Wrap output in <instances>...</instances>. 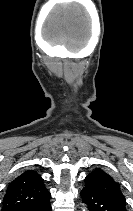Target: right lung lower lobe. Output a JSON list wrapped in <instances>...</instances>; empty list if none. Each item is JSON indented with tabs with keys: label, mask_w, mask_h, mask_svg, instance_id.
<instances>
[{
	"label": "right lung lower lobe",
	"mask_w": 133,
	"mask_h": 211,
	"mask_svg": "<svg viewBox=\"0 0 133 211\" xmlns=\"http://www.w3.org/2000/svg\"><path fill=\"white\" fill-rule=\"evenodd\" d=\"M49 198L50 196L46 198L44 201L29 207L25 211H52Z\"/></svg>",
	"instance_id": "98d812e1"
}]
</instances>
